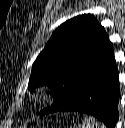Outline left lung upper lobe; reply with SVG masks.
<instances>
[{
    "label": "left lung upper lobe",
    "mask_w": 125,
    "mask_h": 128,
    "mask_svg": "<svg viewBox=\"0 0 125 128\" xmlns=\"http://www.w3.org/2000/svg\"><path fill=\"white\" fill-rule=\"evenodd\" d=\"M111 49L104 27L91 14L60 25L35 60L28 85L30 90L42 85L52 89L53 104L44 114L67 105L86 73Z\"/></svg>",
    "instance_id": "1"
}]
</instances>
